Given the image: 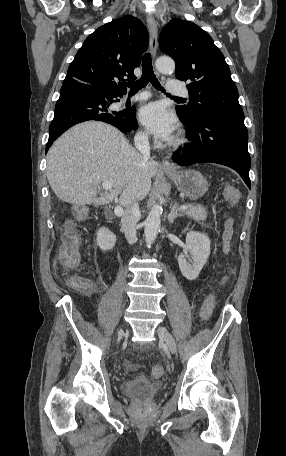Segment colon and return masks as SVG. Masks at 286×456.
Segmentation results:
<instances>
[{
  "label": "colon",
  "mask_w": 286,
  "mask_h": 456,
  "mask_svg": "<svg viewBox=\"0 0 286 456\" xmlns=\"http://www.w3.org/2000/svg\"><path fill=\"white\" fill-rule=\"evenodd\" d=\"M224 194L227 200L231 203H235L239 198L238 190L234 186H225ZM80 239L76 233L72 223H68L65 227L63 244L58 253V264L65 270L75 269L80 262ZM231 274L235 273L234 268H230ZM64 280L68 286L79 291L89 290L93 284L92 281L86 277L78 275H66ZM215 305V296L213 294L208 295L201 307L200 318L207 320L211 316ZM127 368L130 371L135 370V366L132 363H127ZM151 375L154 379H159L164 375V368L161 365L153 366Z\"/></svg>",
  "instance_id": "colon-1"
}]
</instances>
